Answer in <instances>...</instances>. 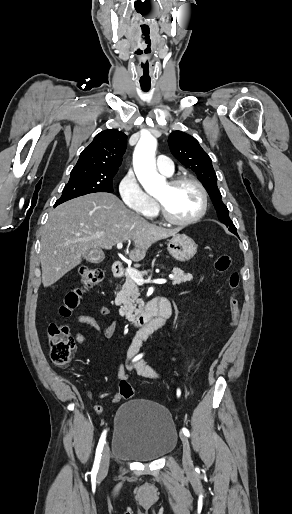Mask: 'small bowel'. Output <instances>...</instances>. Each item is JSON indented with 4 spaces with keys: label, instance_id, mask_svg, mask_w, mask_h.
<instances>
[{
    "label": "small bowel",
    "instance_id": "obj_1",
    "mask_svg": "<svg viewBox=\"0 0 292 514\" xmlns=\"http://www.w3.org/2000/svg\"><path fill=\"white\" fill-rule=\"evenodd\" d=\"M99 313L101 316L107 317L110 313V310L107 306L103 305L99 308ZM169 318L162 319L160 322V326H166ZM76 322L81 325H87V326H90L97 330H101V335H102L103 340L111 338L116 331L115 324H111L109 326H106V327L100 329L98 321L93 316H90V315H85V314L79 315L76 318ZM73 339L77 344H80V345H83V344L87 343V341H88V337L84 333L79 332V331L74 332ZM133 354H134V351H132L130 353L129 358H131ZM130 372L136 373L138 376H140L142 378H146V379H158L159 378V373L153 367H151L150 365H148L147 363H145L144 361H141V360L135 362L132 365ZM129 375H130V373L127 372L125 365L123 363H120L117 367V378L120 381V384L128 383L127 380L129 378ZM101 396L103 398H105V400H106L105 404H108V401H109V404H112V402H113L114 405H117L119 401L123 400V397H121V393L119 391H116V392L109 391L108 393L106 391H103L101 393ZM102 397H99V400H102ZM91 400H94V397H91Z\"/></svg>",
    "mask_w": 292,
    "mask_h": 514
}]
</instances>
